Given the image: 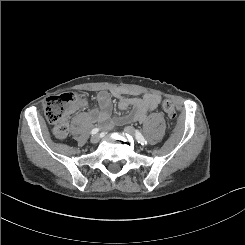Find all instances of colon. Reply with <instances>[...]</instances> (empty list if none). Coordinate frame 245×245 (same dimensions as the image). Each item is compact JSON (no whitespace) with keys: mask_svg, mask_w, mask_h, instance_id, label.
<instances>
[{"mask_svg":"<svg viewBox=\"0 0 245 245\" xmlns=\"http://www.w3.org/2000/svg\"><path fill=\"white\" fill-rule=\"evenodd\" d=\"M84 98V94L63 93L47 99L44 113L46 119L54 125L53 134L57 139L67 137L68 117ZM162 108L170 120L176 119L177 111L171 101L163 100Z\"/></svg>","mask_w":245,"mask_h":245,"instance_id":"5ec220e1","label":"colon"}]
</instances>
